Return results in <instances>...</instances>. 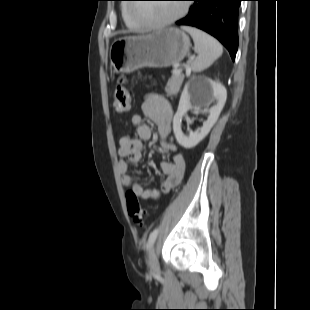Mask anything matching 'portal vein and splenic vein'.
Returning a JSON list of instances; mask_svg holds the SVG:
<instances>
[{
	"mask_svg": "<svg viewBox=\"0 0 310 310\" xmlns=\"http://www.w3.org/2000/svg\"><path fill=\"white\" fill-rule=\"evenodd\" d=\"M181 69H178V70H176V72L175 73H177V74H181Z\"/></svg>",
	"mask_w": 310,
	"mask_h": 310,
	"instance_id": "18ae733b",
	"label": "portal vein and splenic vein"
}]
</instances>
